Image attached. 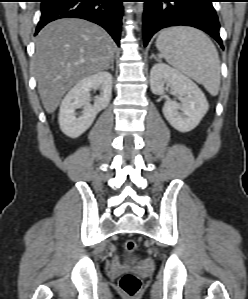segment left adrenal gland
Segmentation results:
<instances>
[{
	"instance_id": "left-adrenal-gland-1",
	"label": "left adrenal gland",
	"mask_w": 248,
	"mask_h": 299,
	"mask_svg": "<svg viewBox=\"0 0 248 299\" xmlns=\"http://www.w3.org/2000/svg\"><path fill=\"white\" fill-rule=\"evenodd\" d=\"M150 58H151V59L154 58V59H156L157 61H159V59H158L154 54H152Z\"/></svg>"
}]
</instances>
